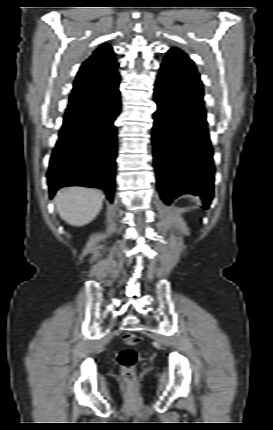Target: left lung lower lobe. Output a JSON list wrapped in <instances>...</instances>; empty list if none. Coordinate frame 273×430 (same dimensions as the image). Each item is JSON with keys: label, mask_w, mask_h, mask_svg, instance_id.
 <instances>
[{"label": "left lung lower lobe", "mask_w": 273, "mask_h": 430, "mask_svg": "<svg viewBox=\"0 0 273 430\" xmlns=\"http://www.w3.org/2000/svg\"><path fill=\"white\" fill-rule=\"evenodd\" d=\"M154 98L152 144L160 196L170 204L181 194L200 195L206 209L214 195L215 167L204 103L181 93L162 73Z\"/></svg>", "instance_id": "left-lung-lower-lobe-1"}]
</instances>
